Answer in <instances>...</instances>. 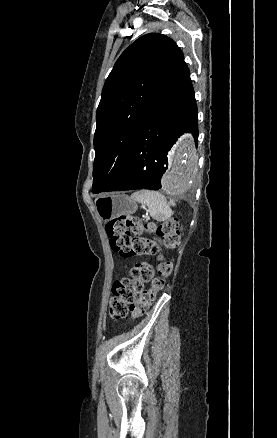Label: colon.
Instances as JSON below:
<instances>
[{
    "mask_svg": "<svg viewBox=\"0 0 277 438\" xmlns=\"http://www.w3.org/2000/svg\"><path fill=\"white\" fill-rule=\"evenodd\" d=\"M106 233L112 250L122 258L153 256L165 249L176 248L181 241L179 223L173 219L160 222H142L130 215L114 218L106 224ZM151 236H140L141 232ZM159 277L153 278L154 268L142 262L132 266L130 276L117 280L110 299L109 311L112 317H124L130 311L133 319L143 316L166 285V279L173 271L170 261L158 262ZM152 281L151 289L140 294L143 283Z\"/></svg>",
    "mask_w": 277,
    "mask_h": 438,
    "instance_id": "1",
    "label": "colon"
}]
</instances>
